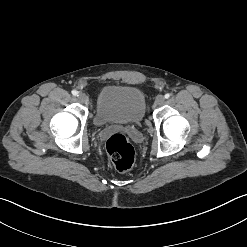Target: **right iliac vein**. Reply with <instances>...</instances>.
<instances>
[{
	"mask_svg": "<svg viewBox=\"0 0 247 247\" xmlns=\"http://www.w3.org/2000/svg\"><path fill=\"white\" fill-rule=\"evenodd\" d=\"M77 97H78V100L82 103H86L88 101V98L84 93H79Z\"/></svg>",
	"mask_w": 247,
	"mask_h": 247,
	"instance_id": "obj_1",
	"label": "right iliac vein"
}]
</instances>
